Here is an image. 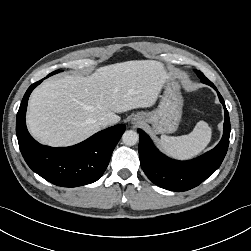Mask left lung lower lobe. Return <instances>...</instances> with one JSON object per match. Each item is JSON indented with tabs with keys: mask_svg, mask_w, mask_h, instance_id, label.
<instances>
[{
	"mask_svg": "<svg viewBox=\"0 0 251 251\" xmlns=\"http://www.w3.org/2000/svg\"><path fill=\"white\" fill-rule=\"evenodd\" d=\"M206 84L217 91L225 112L222 139L211 151L188 161L173 160L159 152L150 137L138 129L140 138L138 152L141 167L154 184L164 189L187 191L198 186L219 168L226 155L230 136L229 114L222 96L213 83L209 81Z\"/></svg>",
	"mask_w": 251,
	"mask_h": 251,
	"instance_id": "left-lung-lower-lobe-1",
	"label": "left lung lower lobe"
}]
</instances>
